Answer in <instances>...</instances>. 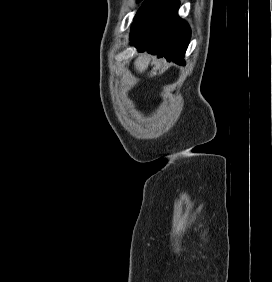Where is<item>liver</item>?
<instances>
[{"label": "liver", "instance_id": "6515ba94", "mask_svg": "<svg viewBox=\"0 0 272 282\" xmlns=\"http://www.w3.org/2000/svg\"><path fill=\"white\" fill-rule=\"evenodd\" d=\"M151 61V56L148 55L147 53H142L138 56V58L134 62V66L136 70L140 73L144 72L147 70L149 64ZM162 66V61H160L158 64H156L155 69L159 70Z\"/></svg>", "mask_w": 272, "mask_h": 282}]
</instances>
